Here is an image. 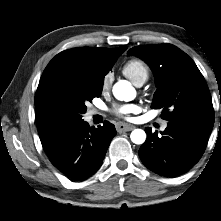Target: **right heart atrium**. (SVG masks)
<instances>
[{"mask_svg":"<svg viewBox=\"0 0 221 221\" xmlns=\"http://www.w3.org/2000/svg\"><path fill=\"white\" fill-rule=\"evenodd\" d=\"M112 80V75L111 73H107L104 77H103V82L102 85L104 88L108 87L111 83Z\"/></svg>","mask_w":221,"mask_h":221,"instance_id":"obj_1","label":"right heart atrium"}]
</instances>
